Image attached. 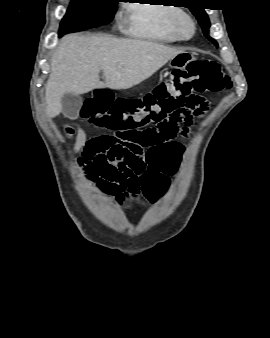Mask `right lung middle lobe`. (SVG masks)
Instances as JSON below:
<instances>
[{
	"instance_id": "right-lung-middle-lobe-1",
	"label": "right lung middle lobe",
	"mask_w": 270,
	"mask_h": 338,
	"mask_svg": "<svg viewBox=\"0 0 270 338\" xmlns=\"http://www.w3.org/2000/svg\"><path fill=\"white\" fill-rule=\"evenodd\" d=\"M120 0H72L61 21L59 36L108 24Z\"/></svg>"
}]
</instances>
